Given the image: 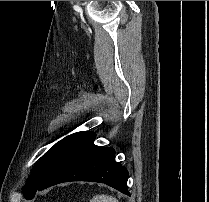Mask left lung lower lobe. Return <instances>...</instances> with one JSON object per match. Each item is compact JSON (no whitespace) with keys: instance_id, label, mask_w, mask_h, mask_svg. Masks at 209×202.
<instances>
[{"instance_id":"1","label":"left lung lower lobe","mask_w":209,"mask_h":202,"mask_svg":"<svg viewBox=\"0 0 209 202\" xmlns=\"http://www.w3.org/2000/svg\"><path fill=\"white\" fill-rule=\"evenodd\" d=\"M94 140L95 134L92 132H78L69 136L37 190L63 182L89 181L107 184L130 195L128 171L115 161L114 149L96 146ZM36 191L26 199L34 198Z\"/></svg>"}]
</instances>
